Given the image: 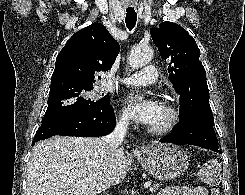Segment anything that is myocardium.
<instances>
[{"instance_id":"f54148a6","label":"myocardium","mask_w":245,"mask_h":195,"mask_svg":"<svg viewBox=\"0 0 245 195\" xmlns=\"http://www.w3.org/2000/svg\"><path fill=\"white\" fill-rule=\"evenodd\" d=\"M161 106H163V108L167 111V120L159 126H149L148 128V132L156 136L164 135L173 131L181 121V112L175 103L163 100L161 102Z\"/></svg>"}]
</instances>
